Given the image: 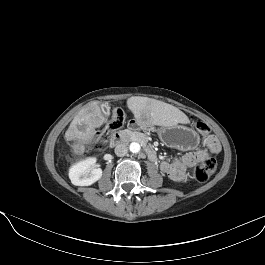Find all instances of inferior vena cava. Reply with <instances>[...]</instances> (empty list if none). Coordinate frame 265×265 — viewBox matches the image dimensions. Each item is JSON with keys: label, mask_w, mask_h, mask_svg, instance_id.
I'll use <instances>...</instances> for the list:
<instances>
[{"label": "inferior vena cava", "mask_w": 265, "mask_h": 265, "mask_svg": "<svg viewBox=\"0 0 265 265\" xmlns=\"http://www.w3.org/2000/svg\"><path fill=\"white\" fill-rule=\"evenodd\" d=\"M128 153V147L126 144H118L115 147V154L119 157H123Z\"/></svg>", "instance_id": "inferior-vena-cava-1"}]
</instances>
